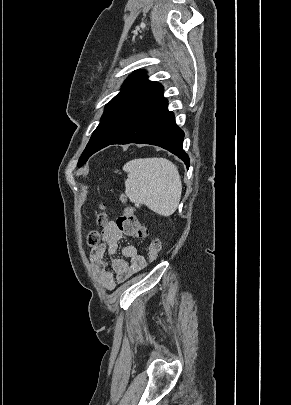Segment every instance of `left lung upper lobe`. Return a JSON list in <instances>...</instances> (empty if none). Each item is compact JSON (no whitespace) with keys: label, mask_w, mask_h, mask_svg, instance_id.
Segmentation results:
<instances>
[{"label":"left lung upper lobe","mask_w":291,"mask_h":405,"mask_svg":"<svg viewBox=\"0 0 291 405\" xmlns=\"http://www.w3.org/2000/svg\"><path fill=\"white\" fill-rule=\"evenodd\" d=\"M155 84L147 79L144 71L130 75L121 92L106 105L100 124L93 132L78 166H82L92 154L110 145L124 132L139 103Z\"/></svg>","instance_id":"5c2ea615"}]
</instances>
